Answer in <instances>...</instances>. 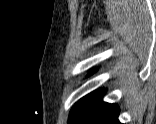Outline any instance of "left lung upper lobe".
Wrapping results in <instances>:
<instances>
[{
  "instance_id": "obj_1",
  "label": "left lung upper lobe",
  "mask_w": 156,
  "mask_h": 124,
  "mask_svg": "<svg viewBox=\"0 0 156 124\" xmlns=\"http://www.w3.org/2000/svg\"><path fill=\"white\" fill-rule=\"evenodd\" d=\"M102 89L93 91L92 93L86 95L82 99H80L75 106L72 108L70 115H69V124H78L86 115L89 108L96 100V98L101 93Z\"/></svg>"
}]
</instances>
